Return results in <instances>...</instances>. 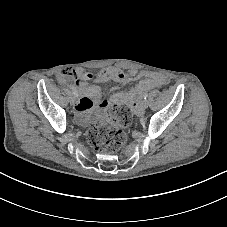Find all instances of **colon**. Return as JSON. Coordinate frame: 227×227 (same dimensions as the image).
<instances>
[{
  "label": "colon",
  "mask_w": 227,
  "mask_h": 227,
  "mask_svg": "<svg viewBox=\"0 0 227 227\" xmlns=\"http://www.w3.org/2000/svg\"><path fill=\"white\" fill-rule=\"evenodd\" d=\"M64 79H74L77 72L72 67L63 69L61 73ZM130 122V111L119 109L113 117L106 118L94 124L87 133L88 142L98 152L112 154L116 152L126 141L125 127Z\"/></svg>",
  "instance_id": "5ec220e1"
}]
</instances>
